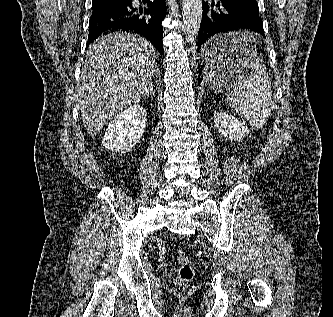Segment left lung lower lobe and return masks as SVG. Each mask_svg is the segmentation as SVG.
<instances>
[{"mask_svg":"<svg viewBox=\"0 0 333 317\" xmlns=\"http://www.w3.org/2000/svg\"><path fill=\"white\" fill-rule=\"evenodd\" d=\"M203 13L198 32V49L211 36L240 30H252L265 37L263 22L259 17V8L256 0H216L211 5L202 3ZM240 53L238 47L231 48L228 44H216L207 51L204 61L211 63ZM205 64L199 63L198 82L201 83V74Z\"/></svg>","mask_w":333,"mask_h":317,"instance_id":"obj_1","label":"left lung lower lobe"}]
</instances>
